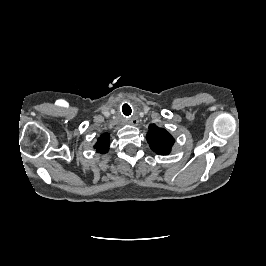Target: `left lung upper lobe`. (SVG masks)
I'll list each match as a JSON object with an SVG mask.
<instances>
[{"instance_id":"1","label":"left lung upper lobe","mask_w":266,"mask_h":266,"mask_svg":"<svg viewBox=\"0 0 266 266\" xmlns=\"http://www.w3.org/2000/svg\"><path fill=\"white\" fill-rule=\"evenodd\" d=\"M150 148L160 155H167L175 142L174 138L162 128L155 124L149 125V131L146 135Z\"/></svg>"}]
</instances>
